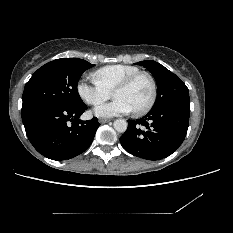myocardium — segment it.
Returning a JSON list of instances; mask_svg holds the SVG:
<instances>
[{"label": "myocardium", "mask_w": 233, "mask_h": 233, "mask_svg": "<svg viewBox=\"0 0 233 233\" xmlns=\"http://www.w3.org/2000/svg\"><path fill=\"white\" fill-rule=\"evenodd\" d=\"M140 77H145L150 82L151 95H150L149 101L147 102V104L144 107L137 109V110H133V112L136 115H144V114L148 113L153 108V106L156 102L157 94H158L157 82H156L155 78L150 73L145 72V71H139V72H136V73L129 75L128 77L123 79L120 83H118L115 86V88L113 89V93H112V95L114 96V94L117 91L129 87L134 81H136Z\"/></svg>", "instance_id": "myocardium-1"}]
</instances>
